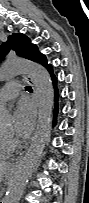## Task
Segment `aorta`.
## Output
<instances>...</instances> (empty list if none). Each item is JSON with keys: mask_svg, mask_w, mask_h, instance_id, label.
Returning <instances> with one entry per match:
<instances>
[{"mask_svg": "<svg viewBox=\"0 0 89 203\" xmlns=\"http://www.w3.org/2000/svg\"><path fill=\"white\" fill-rule=\"evenodd\" d=\"M22 74H28L34 81L39 97L38 121L30 148L8 183L3 203L20 202L24 189L48 143L51 130L54 94L50 74L42 65L19 58L5 61L0 69V77L3 81ZM12 120L11 112L6 107H2L0 109V127L8 128Z\"/></svg>", "mask_w": 89, "mask_h": 203, "instance_id": "762f6f07", "label": "aorta"}]
</instances>
